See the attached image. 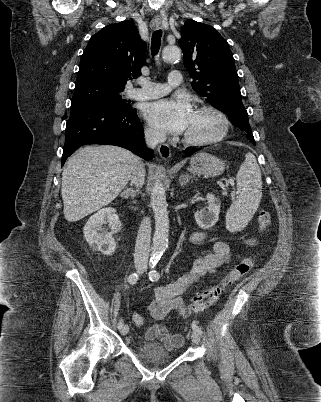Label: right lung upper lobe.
Here are the masks:
<instances>
[{
    "mask_svg": "<svg viewBox=\"0 0 321 402\" xmlns=\"http://www.w3.org/2000/svg\"><path fill=\"white\" fill-rule=\"evenodd\" d=\"M146 43L131 21L110 24L89 40L75 84L100 83L124 89L128 78L141 75Z\"/></svg>",
    "mask_w": 321,
    "mask_h": 402,
    "instance_id": "right-lung-upper-lobe-1",
    "label": "right lung upper lobe"
}]
</instances>
